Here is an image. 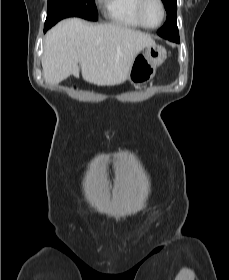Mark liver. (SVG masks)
Segmentation results:
<instances>
[{"label": "liver", "mask_w": 229, "mask_h": 280, "mask_svg": "<svg viewBox=\"0 0 229 280\" xmlns=\"http://www.w3.org/2000/svg\"><path fill=\"white\" fill-rule=\"evenodd\" d=\"M155 41L117 24H89L79 18L59 22L48 31L41 58L45 82L56 85L70 75L97 86L127 79L135 57Z\"/></svg>", "instance_id": "1"}]
</instances>
